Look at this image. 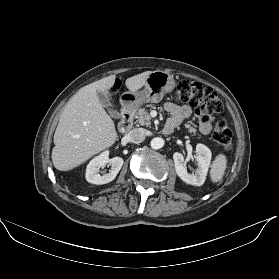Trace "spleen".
Instances as JSON below:
<instances>
[{"label": "spleen", "instance_id": "obj_1", "mask_svg": "<svg viewBox=\"0 0 279 279\" xmlns=\"http://www.w3.org/2000/svg\"><path fill=\"white\" fill-rule=\"evenodd\" d=\"M227 167V158L224 154H219L212 163L210 177L212 182L221 181Z\"/></svg>", "mask_w": 279, "mask_h": 279}]
</instances>
